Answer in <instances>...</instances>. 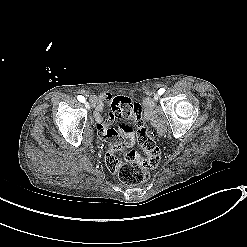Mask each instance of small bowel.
<instances>
[{
  "label": "small bowel",
  "mask_w": 247,
  "mask_h": 247,
  "mask_svg": "<svg viewBox=\"0 0 247 247\" xmlns=\"http://www.w3.org/2000/svg\"><path fill=\"white\" fill-rule=\"evenodd\" d=\"M97 107L94 108L93 113L95 115V119L101 126H105L107 124V121L103 118V105H109L110 106V112H109V119L113 120L115 118H122L121 117V107L125 109H129L132 107L133 102L131 99L123 96H112L110 94L101 96L98 99ZM133 110L135 113L140 114L143 112L144 107L142 104L137 103L134 105ZM134 120V119H133ZM119 131L124 137L126 138V142H122L120 144H114L112 146V149L108 151V154L105 157V160L107 162L106 167L107 169L115 173L118 171L119 166L117 164L116 157H115V151H121L125 149L126 147L131 146L133 142V125L128 121H123L119 125ZM95 133L97 135H100L102 139L107 140L111 139L113 143H116L118 141V132L114 128L110 129H104L103 127L97 128L95 130Z\"/></svg>",
  "instance_id": "obj_1"
}]
</instances>
